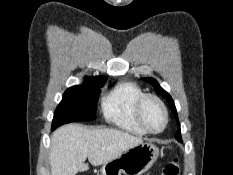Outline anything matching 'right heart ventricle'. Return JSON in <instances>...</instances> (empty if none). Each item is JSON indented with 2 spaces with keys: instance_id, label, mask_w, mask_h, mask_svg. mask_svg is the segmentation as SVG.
Listing matches in <instances>:
<instances>
[{
  "instance_id": "1",
  "label": "right heart ventricle",
  "mask_w": 233,
  "mask_h": 175,
  "mask_svg": "<svg viewBox=\"0 0 233 175\" xmlns=\"http://www.w3.org/2000/svg\"><path fill=\"white\" fill-rule=\"evenodd\" d=\"M144 94L143 89L135 82L118 83L102 98L101 110L105 120L121 130L144 135L146 131L135 115L136 102Z\"/></svg>"
}]
</instances>
